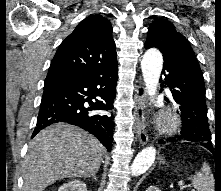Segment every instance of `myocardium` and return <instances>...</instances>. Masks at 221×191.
Instances as JSON below:
<instances>
[{
	"label": "myocardium",
	"instance_id": "f54148a6",
	"mask_svg": "<svg viewBox=\"0 0 221 191\" xmlns=\"http://www.w3.org/2000/svg\"><path fill=\"white\" fill-rule=\"evenodd\" d=\"M178 126H179V120L175 114L168 112L163 115L162 125H161L162 131L173 132L178 128Z\"/></svg>",
	"mask_w": 221,
	"mask_h": 191
}]
</instances>
